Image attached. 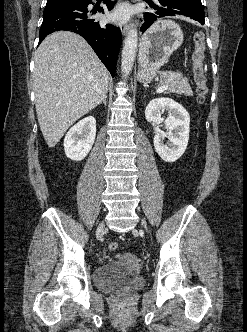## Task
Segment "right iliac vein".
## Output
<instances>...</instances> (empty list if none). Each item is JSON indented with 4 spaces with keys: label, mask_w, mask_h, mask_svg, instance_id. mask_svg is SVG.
Segmentation results:
<instances>
[{
    "label": "right iliac vein",
    "mask_w": 247,
    "mask_h": 332,
    "mask_svg": "<svg viewBox=\"0 0 247 332\" xmlns=\"http://www.w3.org/2000/svg\"><path fill=\"white\" fill-rule=\"evenodd\" d=\"M104 228H105L104 222L100 223L98 228H97L96 235L100 236L103 233Z\"/></svg>",
    "instance_id": "1"
}]
</instances>
